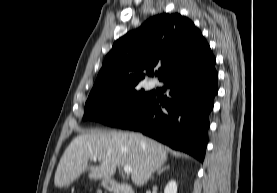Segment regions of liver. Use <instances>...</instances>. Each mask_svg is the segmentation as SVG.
<instances>
[{"instance_id":"obj_1","label":"liver","mask_w":277,"mask_h":193,"mask_svg":"<svg viewBox=\"0 0 277 193\" xmlns=\"http://www.w3.org/2000/svg\"><path fill=\"white\" fill-rule=\"evenodd\" d=\"M89 159H98L100 164L88 166ZM166 160V147L142 134L90 130L77 136L66 148L54 184L57 188L68 186L87 170L90 179H110L117 166H131L132 181L143 186Z\"/></svg>"}]
</instances>
